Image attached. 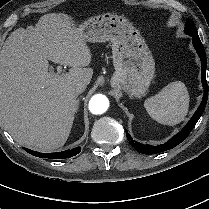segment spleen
I'll return each instance as SVG.
<instances>
[{
    "label": "spleen",
    "instance_id": "1",
    "mask_svg": "<svg viewBox=\"0 0 209 209\" xmlns=\"http://www.w3.org/2000/svg\"><path fill=\"white\" fill-rule=\"evenodd\" d=\"M189 93L181 81L171 82L156 95L147 98L144 106L158 123L173 126L185 119L189 109Z\"/></svg>",
    "mask_w": 209,
    "mask_h": 209
}]
</instances>
